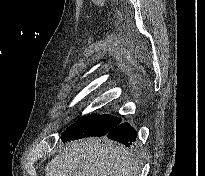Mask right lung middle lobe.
<instances>
[{"mask_svg": "<svg viewBox=\"0 0 205 176\" xmlns=\"http://www.w3.org/2000/svg\"><path fill=\"white\" fill-rule=\"evenodd\" d=\"M121 122V119L112 115L91 114L80 117L71 124L62 134L61 139H81L89 136H104Z\"/></svg>", "mask_w": 205, "mask_h": 176, "instance_id": "1", "label": "right lung middle lobe"}]
</instances>
